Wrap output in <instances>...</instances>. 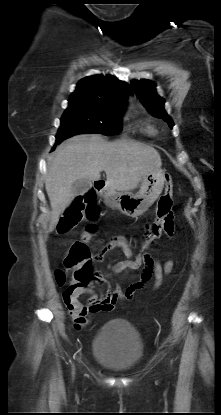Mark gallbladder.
Returning a JSON list of instances; mask_svg holds the SVG:
<instances>
[{
  "instance_id": "obj_1",
  "label": "gallbladder",
  "mask_w": 221,
  "mask_h": 415,
  "mask_svg": "<svg viewBox=\"0 0 221 415\" xmlns=\"http://www.w3.org/2000/svg\"><path fill=\"white\" fill-rule=\"evenodd\" d=\"M91 187V181L88 179H77L73 185H72V190L74 192L75 195H81L86 193Z\"/></svg>"
}]
</instances>
